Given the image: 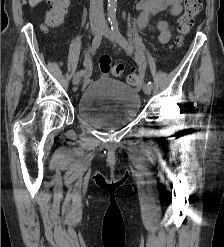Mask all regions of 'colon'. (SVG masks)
I'll return each mask as SVG.
<instances>
[{"label": "colon", "instance_id": "1", "mask_svg": "<svg viewBox=\"0 0 224 247\" xmlns=\"http://www.w3.org/2000/svg\"><path fill=\"white\" fill-rule=\"evenodd\" d=\"M50 5L49 11L46 16V26L55 27L58 26L70 5V0H48ZM202 9L201 0H184V12L179 19L178 36L176 38V45L180 46L183 43L185 35L190 31L195 22L196 15ZM99 68L102 73L119 77L124 71V65L121 63L112 64V59L107 53H102L99 57ZM128 82L131 85L139 83V77L135 72H131L128 75Z\"/></svg>", "mask_w": 224, "mask_h": 247}]
</instances>
